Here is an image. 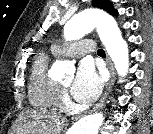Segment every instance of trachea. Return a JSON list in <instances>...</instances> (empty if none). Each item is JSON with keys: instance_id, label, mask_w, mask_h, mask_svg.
Returning <instances> with one entry per match:
<instances>
[{"instance_id": "obj_1", "label": "trachea", "mask_w": 153, "mask_h": 134, "mask_svg": "<svg viewBox=\"0 0 153 134\" xmlns=\"http://www.w3.org/2000/svg\"><path fill=\"white\" fill-rule=\"evenodd\" d=\"M97 53L99 56H105V51L103 49H99Z\"/></svg>"}]
</instances>
